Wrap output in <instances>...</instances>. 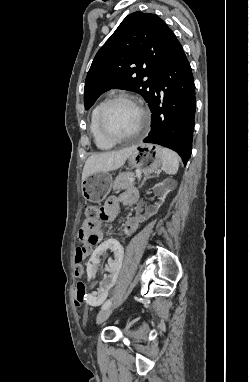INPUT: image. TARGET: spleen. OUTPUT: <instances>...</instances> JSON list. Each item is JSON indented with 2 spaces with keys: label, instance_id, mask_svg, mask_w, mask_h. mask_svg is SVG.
Returning a JSON list of instances; mask_svg holds the SVG:
<instances>
[{
  "label": "spleen",
  "instance_id": "3e777b00",
  "mask_svg": "<svg viewBox=\"0 0 249 382\" xmlns=\"http://www.w3.org/2000/svg\"><path fill=\"white\" fill-rule=\"evenodd\" d=\"M162 169L166 174L174 175L179 169V156L176 152L168 148H161Z\"/></svg>",
  "mask_w": 249,
  "mask_h": 382
}]
</instances>
